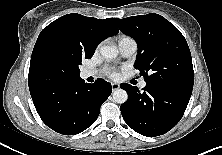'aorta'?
Instances as JSON below:
<instances>
[{"label":"aorta","mask_w":222,"mask_h":155,"mask_svg":"<svg viewBox=\"0 0 222 155\" xmlns=\"http://www.w3.org/2000/svg\"><path fill=\"white\" fill-rule=\"evenodd\" d=\"M100 53L104 58L111 60L117 57L118 49L112 46H103L100 49ZM127 98H128L127 92L121 88L116 89L113 92V100L116 103L123 104L127 101Z\"/></svg>","instance_id":"762f6f07"}]
</instances>
